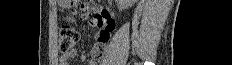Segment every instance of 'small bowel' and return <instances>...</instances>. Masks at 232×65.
Masks as SVG:
<instances>
[{"instance_id": "c3829d8e", "label": "small bowel", "mask_w": 232, "mask_h": 65, "mask_svg": "<svg viewBox=\"0 0 232 65\" xmlns=\"http://www.w3.org/2000/svg\"><path fill=\"white\" fill-rule=\"evenodd\" d=\"M92 26L98 27L99 32L97 33L96 37L98 40V44L101 43L104 45L109 41L110 33L114 29V21L110 17L109 13L104 9L97 10L94 19L91 22ZM105 36L104 39H101L102 36ZM97 46V45H96ZM94 47L92 51V55L94 57L95 54V48ZM76 56L75 50H70L68 52L63 53L59 58V64L60 65H68V61ZM95 59V57H94ZM96 60V59H95ZM89 65H95V62L89 63Z\"/></svg>"}]
</instances>
